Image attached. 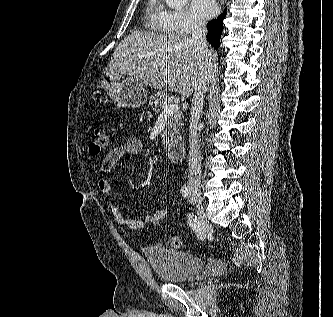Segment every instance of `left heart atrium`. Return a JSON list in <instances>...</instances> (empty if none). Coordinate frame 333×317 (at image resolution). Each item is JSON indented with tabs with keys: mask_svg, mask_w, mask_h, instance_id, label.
Instances as JSON below:
<instances>
[{
	"mask_svg": "<svg viewBox=\"0 0 333 317\" xmlns=\"http://www.w3.org/2000/svg\"><path fill=\"white\" fill-rule=\"evenodd\" d=\"M218 6L215 0H191L190 11L193 18L203 22L217 13Z\"/></svg>",
	"mask_w": 333,
	"mask_h": 317,
	"instance_id": "obj_1",
	"label": "left heart atrium"
}]
</instances>
